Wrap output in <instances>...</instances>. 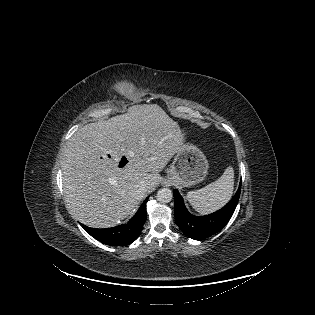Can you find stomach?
Wrapping results in <instances>:
<instances>
[{
	"label": "stomach",
	"mask_w": 315,
	"mask_h": 315,
	"mask_svg": "<svg viewBox=\"0 0 315 315\" xmlns=\"http://www.w3.org/2000/svg\"><path fill=\"white\" fill-rule=\"evenodd\" d=\"M208 168L205 155L196 146L184 143L183 149L176 153L168 170V179L189 187L204 180Z\"/></svg>",
	"instance_id": "1"
}]
</instances>
